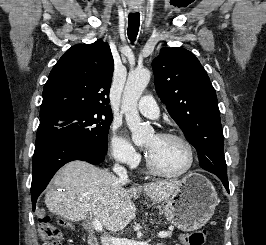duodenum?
I'll return each instance as SVG.
<instances>
[{"label":"duodenum","instance_id":"duodenum-1","mask_svg":"<svg viewBox=\"0 0 266 245\" xmlns=\"http://www.w3.org/2000/svg\"><path fill=\"white\" fill-rule=\"evenodd\" d=\"M89 245H98V242L95 239H90Z\"/></svg>","mask_w":266,"mask_h":245}]
</instances>
